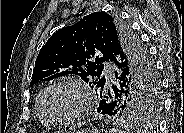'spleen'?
Wrapping results in <instances>:
<instances>
[{
	"label": "spleen",
	"mask_w": 184,
	"mask_h": 133,
	"mask_svg": "<svg viewBox=\"0 0 184 133\" xmlns=\"http://www.w3.org/2000/svg\"><path fill=\"white\" fill-rule=\"evenodd\" d=\"M110 132H111V133H124V132L121 131V130H115V129H114V130H111Z\"/></svg>",
	"instance_id": "1"
}]
</instances>
